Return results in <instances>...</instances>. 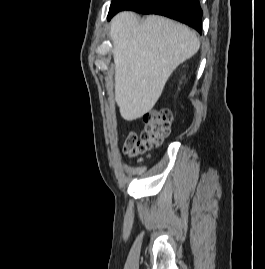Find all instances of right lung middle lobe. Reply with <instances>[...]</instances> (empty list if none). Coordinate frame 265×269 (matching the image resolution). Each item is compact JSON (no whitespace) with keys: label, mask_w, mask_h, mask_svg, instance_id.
Here are the masks:
<instances>
[{"label":"right lung middle lobe","mask_w":265,"mask_h":269,"mask_svg":"<svg viewBox=\"0 0 265 269\" xmlns=\"http://www.w3.org/2000/svg\"><path fill=\"white\" fill-rule=\"evenodd\" d=\"M115 2V0H112V3H111V5L113 4Z\"/></svg>","instance_id":"dd1d6c3e"}]
</instances>
